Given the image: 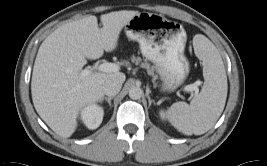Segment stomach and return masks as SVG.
Returning a JSON list of instances; mask_svg holds the SVG:
<instances>
[{
    "mask_svg": "<svg viewBox=\"0 0 267 166\" xmlns=\"http://www.w3.org/2000/svg\"><path fill=\"white\" fill-rule=\"evenodd\" d=\"M125 33L155 65L165 90L173 91L184 82L190 66L184 55L186 32L179 23L160 14L140 12L125 25Z\"/></svg>",
    "mask_w": 267,
    "mask_h": 166,
    "instance_id": "obj_1",
    "label": "stomach"
}]
</instances>
